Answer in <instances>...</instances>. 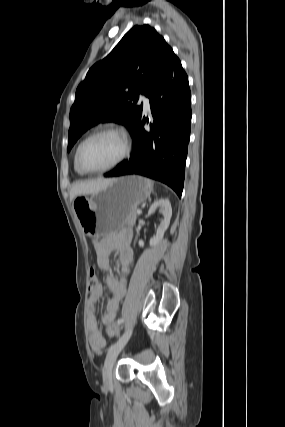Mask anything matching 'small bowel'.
Masks as SVG:
<instances>
[{
	"label": "small bowel",
	"mask_w": 285,
	"mask_h": 427,
	"mask_svg": "<svg viewBox=\"0 0 285 427\" xmlns=\"http://www.w3.org/2000/svg\"><path fill=\"white\" fill-rule=\"evenodd\" d=\"M131 234L129 231H124L120 235L107 236L101 239L94 240V250L97 258L98 266L104 270L109 271L111 268L110 256L114 251H119V260L121 264L122 277L118 278L109 275L106 279V287L111 293V297L106 304L105 312L101 318L104 325H110L114 322L119 304L125 294V275L129 271V266L133 262L134 253L130 247ZM103 294V285L98 283L97 286L90 289L88 297V307L93 322L90 329V344L94 352L99 353L106 344L104 335L100 332L98 325L94 318L96 303L99 301Z\"/></svg>",
	"instance_id": "c3829d8e"
}]
</instances>
